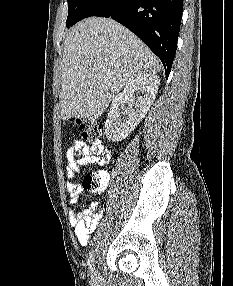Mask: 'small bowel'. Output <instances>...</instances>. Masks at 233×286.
I'll list each match as a JSON object with an SVG mask.
<instances>
[{
  "instance_id": "c3829d8e",
  "label": "small bowel",
  "mask_w": 233,
  "mask_h": 286,
  "mask_svg": "<svg viewBox=\"0 0 233 286\" xmlns=\"http://www.w3.org/2000/svg\"><path fill=\"white\" fill-rule=\"evenodd\" d=\"M109 157L108 151L103 152L100 157L94 156L84 141L75 140L66 152V174L68 178H73L80 172L82 167L93 164H106ZM66 190L69 194L70 203L73 205L78 203L79 198L84 191L81 185L72 182L66 184ZM103 190L98 192H102ZM101 216L102 212L96 201L90 202L87 207L81 211H70L69 221L74 228L75 236L80 244L86 245L88 243L90 234L96 229Z\"/></svg>"
}]
</instances>
